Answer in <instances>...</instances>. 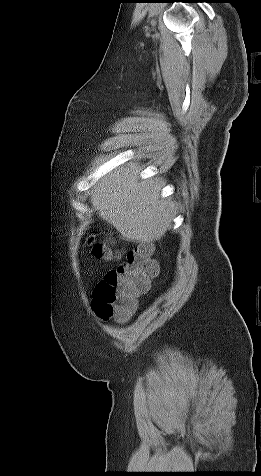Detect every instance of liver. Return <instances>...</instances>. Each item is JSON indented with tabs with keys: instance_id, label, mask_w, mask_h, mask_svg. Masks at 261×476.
I'll use <instances>...</instances> for the list:
<instances>
[{
	"instance_id": "obj_1",
	"label": "liver",
	"mask_w": 261,
	"mask_h": 476,
	"mask_svg": "<svg viewBox=\"0 0 261 476\" xmlns=\"http://www.w3.org/2000/svg\"><path fill=\"white\" fill-rule=\"evenodd\" d=\"M131 163L104 176L94 186L90 202L99 216L127 241L160 240L171 226L173 206L161 194L159 180L143 179Z\"/></svg>"
}]
</instances>
